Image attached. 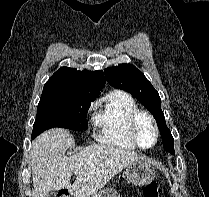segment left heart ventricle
<instances>
[{
    "label": "left heart ventricle",
    "mask_w": 209,
    "mask_h": 197,
    "mask_svg": "<svg viewBox=\"0 0 209 197\" xmlns=\"http://www.w3.org/2000/svg\"><path fill=\"white\" fill-rule=\"evenodd\" d=\"M137 134L140 143L143 146H150L153 144L155 139V132L152 124L146 118H141L137 127Z\"/></svg>",
    "instance_id": "b2bd125f"
}]
</instances>
